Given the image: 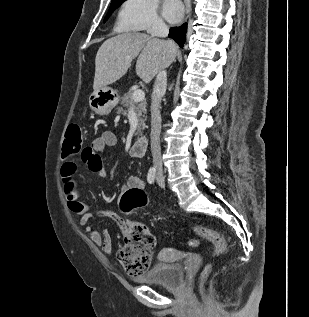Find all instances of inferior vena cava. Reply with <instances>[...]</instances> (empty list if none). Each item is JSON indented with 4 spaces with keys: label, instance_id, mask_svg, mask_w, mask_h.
<instances>
[{
    "label": "inferior vena cava",
    "instance_id": "602c4592",
    "mask_svg": "<svg viewBox=\"0 0 309 317\" xmlns=\"http://www.w3.org/2000/svg\"><path fill=\"white\" fill-rule=\"evenodd\" d=\"M152 37H166L169 29L164 22L157 20L153 23L149 30ZM167 87V73L166 70L161 69L157 73L152 96H151V152L153 157V166L158 171H162V157L160 147V133H161V114L160 103L166 92Z\"/></svg>",
    "mask_w": 309,
    "mask_h": 317
}]
</instances>
